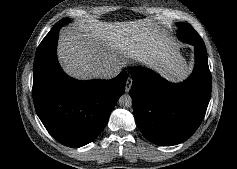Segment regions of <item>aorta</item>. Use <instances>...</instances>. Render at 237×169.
Instances as JSON below:
<instances>
[{
	"mask_svg": "<svg viewBox=\"0 0 237 169\" xmlns=\"http://www.w3.org/2000/svg\"><path fill=\"white\" fill-rule=\"evenodd\" d=\"M119 105L124 108L132 106V98L128 94H124L119 98Z\"/></svg>",
	"mask_w": 237,
	"mask_h": 169,
	"instance_id": "1",
	"label": "aorta"
}]
</instances>
